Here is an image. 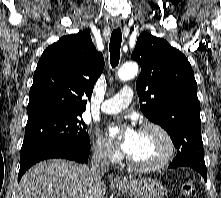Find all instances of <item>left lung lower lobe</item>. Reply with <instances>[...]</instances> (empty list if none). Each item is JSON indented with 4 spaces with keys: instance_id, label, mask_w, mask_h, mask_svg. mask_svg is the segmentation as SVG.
Returning <instances> with one entry per match:
<instances>
[{
    "instance_id": "left-lung-lower-lobe-1",
    "label": "left lung lower lobe",
    "mask_w": 221,
    "mask_h": 198,
    "mask_svg": "<svg viewBox=\"0 0 221 198\" xmlns=\"http://www.w3.org/2000/svg\"><path fill=\"white\" fill-rule=\"evenodd\" d=\"M187 166L198 171L205 181L207 180V169L204 161V153L190 151L177 153L176 157L169 165V168Z\"/></svg>"
}]
</instances>
